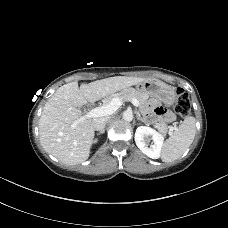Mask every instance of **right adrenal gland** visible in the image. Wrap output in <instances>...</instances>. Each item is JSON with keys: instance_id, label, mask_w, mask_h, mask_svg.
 <instances>
[{"instance_id": "right-adrenal-gland-1", "label": "right adrenal gland", "mask_w": 228, "mask_h": 228, "mask_svg": "<svg viewBox=\"0 0 228 228\" xmlns=\"http://www.w3.org/2000/svg\"><path fill=\"white\" fill-rule=\"evenodd\" d=\"M105 132V129H103L102 131L98 132L97 135L103 134Z\"/></svg>"}]
</instances>
